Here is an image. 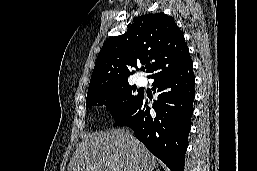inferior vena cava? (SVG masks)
<instances>
[{
    "mask_svg": "<svg viewBox=\"0 0 257 171\" xmlns=\"http://www.w3.org/2000/svg\"><path fill=\"white\" fill-rule=\"evenodd\" d=\"M133 171H138V167L134 165Z\"/></svg>",
    "mask_w": 257,
    "mask_h": 171,
    "instance_id": "inferior-vena-cava-1",
    "label": "inferior vena cava"
}]
</instances>
